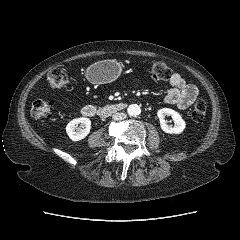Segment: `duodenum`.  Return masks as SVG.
<instances>
[{"label": "duodenum", "mask_w": 240, "mask_h": 240, "mask_svg": "<svg viewBox=\"0 0 240 240\" xmlns=\"http://www.w3.org/2000/svg\"><path fill=\"white\" fill-rule=\"evenodd\" d=\"M126 105L124 103H111L102 107H96L94 105H85L81 109V113L85 117L93 118L100 117L106 118L114 113L122 111Z\"/></svg>", "instance_id": "duodenum-1"}]
</instances>
